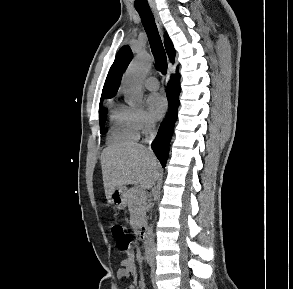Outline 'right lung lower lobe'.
<instances>
[{
    "instance_id": "right-lung-lower-lobe-1",
    "label": "right lung lower lobe",
    "mask_w": 293,
    "mask_h": 289,
    "mask_svg": "<svg viewBox=\"0 0 293 289\" xmlns=\"http://www.w3.org/2000/svg\"><path fill=\"white\" fill-rule=\"evenodd\" d=\"M180 77L172 75L166 88V94L169 102V112L162 122L155 140L152 143L157 158L164 167L169 155V143L173 133L174 123L177 120V108L179 106Z\"/></svg>"
}]
</instances>
